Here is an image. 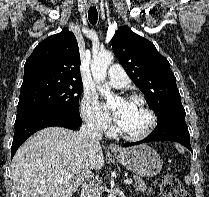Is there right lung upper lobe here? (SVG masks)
Wrapping results in <instances>:
<instances>
[{
    "label": "right lung upper lobe",
    "mask_w": 209,
    "mask_h": 197,
    "mask_svg": "<svg viewBox=\"0 0 209 197\" xmlns=\"http://www.w3.org/2000/svg\"><path fill=\"white\" fill-rule=\"evenodd\" d=\"M35 80L82 82L75 35L68 30L40 42L24 65L23 83Z\"/></svg>",
    "instance_id": "cb5924a9"
}]
</instances>
